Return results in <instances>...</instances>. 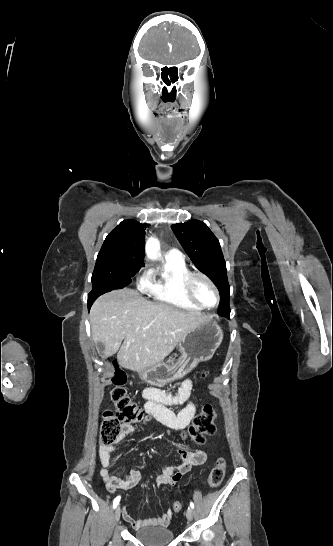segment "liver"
<instances>
[{"label":"liver","mask_w":333,"mask_h":546,"mask_svg":"<svg viewBox=\"0 0 333 546\" xmlns=\"http://www.w3.org/2000/svg\"><path fill=\"white\" fill-rule=\"evenodd\" d=\"M206 319L199 312L148 301L133 289L106 293L90 310L92 339L104 345L103 356L118 352L119 365L135 372L161 363Z\"/></svg>","instance_id":"obj_1"}]
</instances>
